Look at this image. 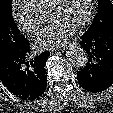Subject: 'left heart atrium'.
<instances>
[{
  "label": "left heart atrium",
  "instance_id": "39dd6f15",
  "mask_svg": "<svg viewBox=\"0 0 113 113\" xmlns=\"http://www.w3.org/2000/svg\"><path fill=\"white\" fill-rule=\"evenodd\" d=\"M74 28L60 22L53 21L44 28L37 39L40 48H52L60 45L73 34Z\"/></svg>",
  "mask_w": 113,
  "mask_h": 113
}]
</instances>
